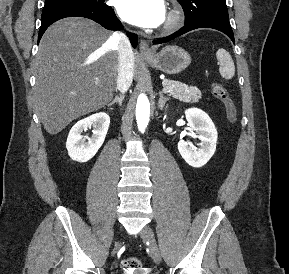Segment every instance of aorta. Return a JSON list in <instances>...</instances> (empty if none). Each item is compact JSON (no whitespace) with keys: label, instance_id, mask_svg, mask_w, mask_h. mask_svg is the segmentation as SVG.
Segmentation results:
<instances>
[{"label":"aorta","instance_id":"obj_1","mask_svg":"<svg viewBox=\"0 0 289 274\" xmlns=\"http://www.w3.org/2000/svg\"><path fill=\"white\" fill-rule=\"evenodd\" d=\"M150 117V102L145 94H140L136 104V121L139 131L144 132Z\"/></svg>","mask_w":289,"mask_h":274}]
</instances>
